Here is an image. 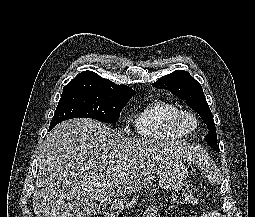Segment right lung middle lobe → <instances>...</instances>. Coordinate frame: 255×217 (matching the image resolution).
Instances as JSON below:
<instances>
[{"label": "right lung middle lobe", "instance_id": "dd1d6c3e", "mask_svg": "<svg viewBox=\"0 0 255 217\" xmlns=\"http://www.w3.org/2000/svg\"><path fill=\"white\" fill-rule=\"evenodd\" d=\"M132 96L134 94L63 91L50 126L72 118H92L105 123H116Z\"/></svg>", "mask_w": 255, "mask_h": 217}]
</instances>
